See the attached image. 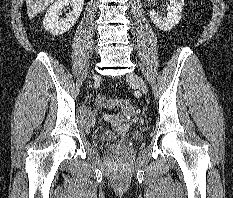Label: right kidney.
I'll return each instance as SVG.
<instances>
[{
    "label": "right kidney",
    "mask_w": 233,
    "mask_h": 198,
    "mask_svg": "<svg viewBox=\"0 0 233 198\" xmlns=\"http://www.w3.org/2000/svg\"><path fill=\"white\" fill-rule=\"evenodd\" d=\"M72 6L66 18L60 19L61 10L65 6ZM84 5V0H57L51 5L43 19L44 28L52 35H61L70 30L78 20Z\"/></svg>",
    "instance_id": "1"
}]
</instances>
